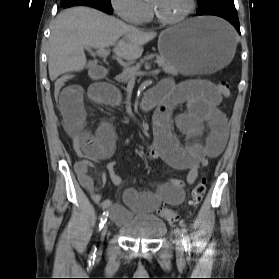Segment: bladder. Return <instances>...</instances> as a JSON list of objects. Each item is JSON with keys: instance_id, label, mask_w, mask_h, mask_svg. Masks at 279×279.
I'll return each mask as SVG.
<instances>
[{"instance_id": "1", "label": "bladder", "mask_w": 279, "mask_h": 279, "mask_svg": "<svg viewBox=\"0 0 279 279\" xmlns=\"http://www.w3.org/2000/svg\"><path fill=\"white\" fill-rule=\"evenodd\" d=\"M118 231L128 239L152 241L166 233L164 221L154 215L131 217L129 222L118 226Z\"/></svg>"}]
</instances>
